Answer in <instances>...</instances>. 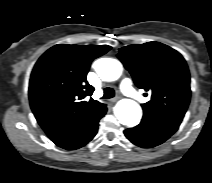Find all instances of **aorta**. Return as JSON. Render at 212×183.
Instances as JSON below:
<instances>
[{
  "mask_svg": "<svg viewBox=\"0 0 212 183\" xmlns=\"http://www.w3.org/2000/svg\"><path fill=\"white\" fill-rule=\"evenodd\" d=\"M97 73L104 81H115L121 76L122 65L116 59L103 58L97 64ZM114 113L121 124L129 127L137 125L142 117L141 107L130 99L120 100Z\"/></svg>",
  "mask_w": 212,
  "mask_h": 183,
  "instance_id": "762f6f07",
  "label": "aorta"
}]
</instances>
